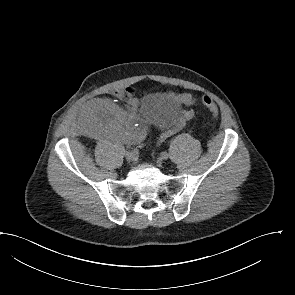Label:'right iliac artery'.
<instances>
[{
  "mask_svg": "<svg viewBox=\"0 0 295 295\" xmlns=\"http://www.w3.org/2000/svg\"><path fill=\"white\" fill-rule=\"evenodd\" d=\"M132 153L139 155L141 153V150L139 148H136V149L132 150Z\"/></svg>",
  "mask_w": 295,
  "mask_h": 295,
  "instance_id": "right-iliac-artery-1",
  "label": "right iliac artery"
}]
</instances>
